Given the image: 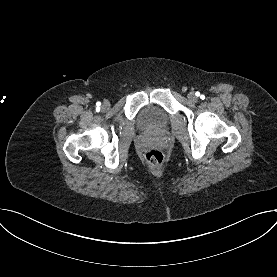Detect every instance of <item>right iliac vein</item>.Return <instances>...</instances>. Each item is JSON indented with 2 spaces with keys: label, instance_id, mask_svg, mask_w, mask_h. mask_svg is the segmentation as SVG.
Returning a JSON list of instances; mask_svg holds the SVG:
<instances>
[{
  "label": "right iliac vein",
  "instance_id": "1",
  "mask_svg": "<svg viewBox=\"0 0 277 277\" xmlns=\"http://www.w3.org/2000/svg\"><path fill=\"white\" fill-rule=\"evenodd\" d=\"M110 107V104L108 102H105L103 105H102V110L103 111H107Z\"/></svg>",
  "mask_w": 277,
  "mask_h": 277
}]
</instances>
